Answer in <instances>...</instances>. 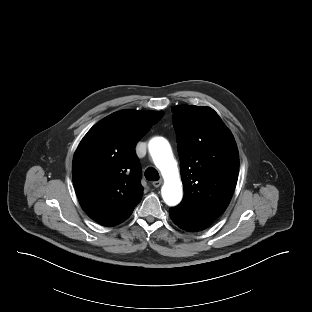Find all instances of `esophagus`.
<instances>
[{
  "instance_id": "obj_1",
  "label": "esophagus",
  "mask_w": 312,
  "mask_h": 312,
  "mask_svg": "<svg viewBox=\"0 0 312 312\" xmlns=\"http://www.w3.org/2000/svg\"><path fill=\"white\" fill-rule=\"evenodd\" d=\"M152 184L154 187L158 188L162 184V180L154 181Z\"/></svg>"
}]
</instances>
